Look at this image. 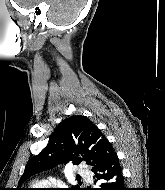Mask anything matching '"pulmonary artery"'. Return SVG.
<instances>
[{"instance_id": "1", "label": "pulmonary artery", "mask_w": 165, "mask_h": 190, "mask_svg": "<svg viewBox=\"0 0 165 190\" xmlns=\"http://www.w3.org/2000/svg\"><path fill=\"white\" fill-rule=\"evenodd\" d=\"M77 173L81 177L90 180V174H89V172L87 170L83 169L82 167L78 168Z\"/></svg>"}]
</instances>
